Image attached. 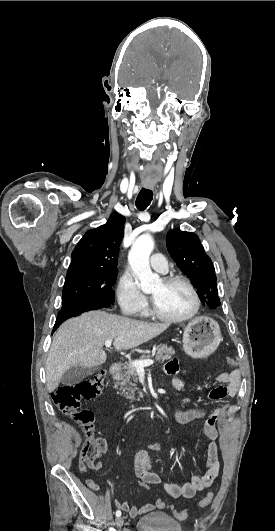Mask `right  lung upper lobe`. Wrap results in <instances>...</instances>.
I'll use <instances>...</instances> for the list:
<instances>
[{
    "instance_id": "obj_1",
    "label": "right lung upper lobe",
    "mask_w": 275,
    "mask_h": 531,
    "mask_svg": "<svg viewBox=\"0 0 275 531\" xmlns=\"http://www.w3.org/2000/svg\"><path fill=\"white\" fill-rule=\"evenodd\" d=\"M125 218L114 212L106 224L88 230L72 252L67 273L84 270H117Z\"/></svg>"
}]
</instances>
